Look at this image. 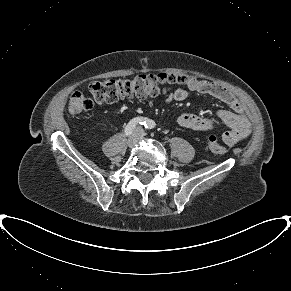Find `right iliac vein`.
Returning <instances> with one entry per match:
<instances>
[{"label":"right iliac vein","instance_id":"obj_1","mask_svg":"<svg viewBox=\"0 0 291 291\" xmlns=\"http://www.w3.org/2000/svg\"><path fill=\"white\" fill-rule=\"evenodd\" d=\"M138 139H139V134H138V132H134V133L129 137V139H128V142H127V143H128V146H129L130 148L134 147V146L136 145Z\"/></svg>","mask_w":291,"mask_h":291}]
</instances>
